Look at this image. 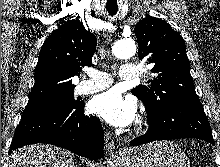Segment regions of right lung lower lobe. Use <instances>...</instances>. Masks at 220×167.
<instances>
[{
	"instance_id": "1",
	"label": "right lung lower lobe",
	"mask_w": 220,
	"mask_h": 167,
	"mask_svg": "<svg viewBox=\"0 0 220 167\" xmlns=\"http://www.w3.org/2000/svg\"><path fill=\"white\" fill-rule=\"evenodd\" d=\"M35 143L60 146L93 160L104 156V131L100 121L85 115L84 102L79 101L72 107L46 103L26 108L9 153Z\"/></svg>"
}]
</instances>
